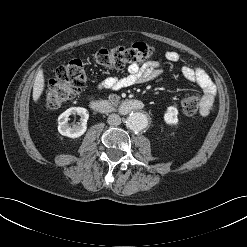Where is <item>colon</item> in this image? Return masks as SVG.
Masks as SVG:
<instances>
[{"label": "colon", "mask_w": 247, "mask_h": 247, "mask_svg": "<svg viewBox=\"0 0 247 247\" xmlns=\"http://www.w3.org/2000/svg\"><path fill=\"white\" fill-rule=\"evenodd\" d=\"M153 54L152 46L138 42L130 47L99 49L94 53L93 59L107 69H120L127 64L144 62ZM86 81L83 60L73 59L59 66L45 92L46 106L52 109L74 100L85 87ZM181 106L186 115H194L199 108V97L195 93H190L182 99Z\"/></svg>", "instance_id": "5ec220e1"}]
</instances>
